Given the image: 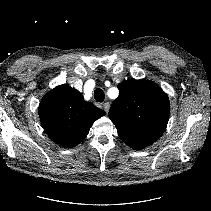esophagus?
I'll use <instances>...</instances> for the list:
<instances>
[{"label":"esophagus","instance_id":"1","mask_svg":"<svg viewBox=\"0 0 211 211\" xmlns=\"http://www.w3.org/2000/svg\"><path fill=\"white\" fill-rule=\"evenodd\" d=\"M103 109L106 113H108L109 109H110V103L109 102H105L103 104Z\"/></svg>","mask_w":211,"mask_h":211}]
</instances>
